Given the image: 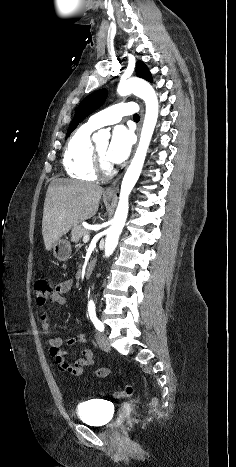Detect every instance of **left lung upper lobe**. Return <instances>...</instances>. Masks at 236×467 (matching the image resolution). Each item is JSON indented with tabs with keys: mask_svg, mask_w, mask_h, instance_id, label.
Listing matches in <instances>:
<instances>
[{
	"mask_svg": "<svg viewBox=\"0 0 236 467\" xmlns=\"http://www.w3.org/2000/svg\"><path fill=\"white\" fill-rule=\"evenodd\" d=\"M136 74L138 77H141L147 81H152V76L147 66L142 61H138L136 63ZM107 94L108 92L106 89H101L88 95L85 99L82 100L75 112V116L71 124L69 125L67 136H69L71 132L74 131L80 122H82L88 115L93 113L105 102Z\"/></svg>",
	"mask_w": 236,
	"mask_h": 467,
	"instance_id": "1",
	"label": "left lung upper lobe"
}]
</instances>
